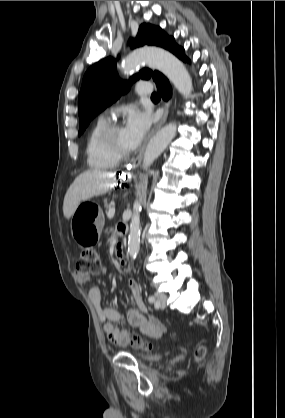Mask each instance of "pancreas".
Listing matches in <instances>:
<instances>
[{"mask_svg":"<svg viewBox=\"0 0 285 418\" xmlns=\"http://www.w3.org/2000/svg\"><path fill=\"white\" fill-rule=\"evenodd\" d=\"M104 207L108 211L111 208V205L107 201H104Z\"/></svg>","mask_w":285,"mask_h":418,"instance_id":"cf45deb5","label":"pancreas"}]
</instances>
